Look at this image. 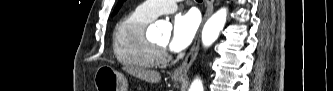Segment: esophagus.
Masks as SVG:
<instances>
[{
    "instance_id": "34e87169",
    "label": "esophagus",
    "mask_w": 333,
    "mask_h": 91,
    "mask_svg": "<svg viewBox=\"0 0 333 91\" xmlns=\"http://www.w3.org/2000/svg\"><path fill=\"white\" fill-rule=\"evenodd\" d=\"M206 1V11L203 17V21L200 27V30L198 32V35L194 41L193 46L191 47V50L189 51L188 55L186 56L185 60L182 62V64L175 69V71L173 72V76L175 78H181L184 77L187 73V71L189 70L190 66L192 65V63L194 62L198 51H199V45H200V32H201V28L203 27L204 23L207 21V19L210 17V15L213 12L214 9V0H205Z\"/></svg>"
}]
</instances>
